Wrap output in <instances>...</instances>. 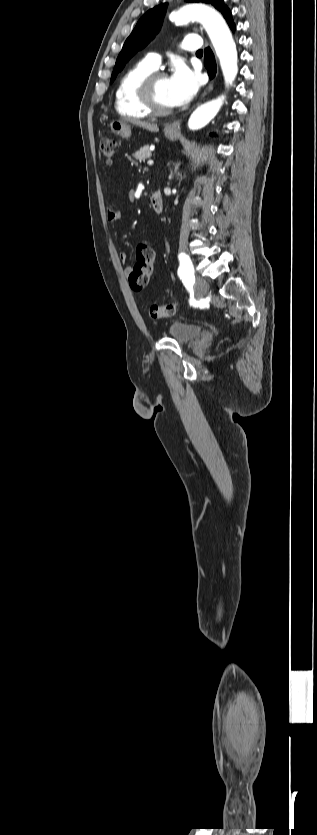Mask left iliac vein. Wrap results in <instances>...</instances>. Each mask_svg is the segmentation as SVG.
<instances>
[{
    "mask_svg": "<svg viewBox=\"0 0 317 835\" xmlns=\"http://www.w3.org/2000/svg\"><path fill=\"white\" fill-rule=\"evenodd\" d=\"M194 290L196 297L198 299H201L208 293L209 285L205 279L201 278L200 276H197L194 285Z\"/></svg>",
    "mask_w": 317,
    "mask_h": 835,
    "instance_id": "left-iliac-vein-1",
    "label": "left iliac vein"
}]
</instances>
